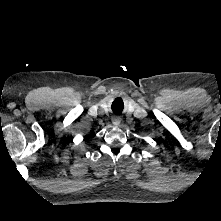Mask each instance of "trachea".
<instances>
[{
	"instance_id": "obj_1",
	"label": "trachea",
	"mask_w": 221,
	"mask_h": 221,
	"mask_svg": "<svg viewBox=\"0 0 221 221\" xmlns=\"http://www.w3.org/2000/svg\"><path fill=\"white\" fill-rule=\"evenodd\" d=\"M114 112L118 114V113H120L121 111L118 110V111H114Z\"/></svg>"
}]
</instances>
